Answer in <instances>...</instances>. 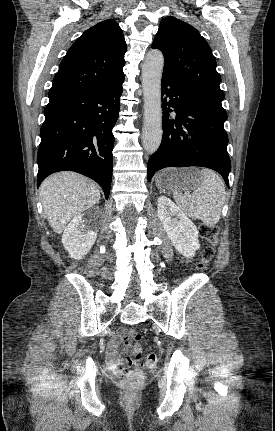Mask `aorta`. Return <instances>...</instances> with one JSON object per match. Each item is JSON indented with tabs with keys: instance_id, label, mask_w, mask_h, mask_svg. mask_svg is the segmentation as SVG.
Returning a JSON list of instances; mask_svg holds the SVG:
<instances>
[{
	"instance_id": "aorta-1",
	"label": "aorta",
	"mask_w": 275,
	"mask_h": 431,
	"mask_svg": "<svg viewBox=\"0 0 275 431\" xmlns=\"http://www.w3.org/2000/svg\"><path fill=\"white\" fill-rule=\"evenodd\" d=\"M164 57L160 50H150L142 67L144 124L142 143L147 153L157 151L162 140L161 78Z\"/></svg>"
}]
</instances>
